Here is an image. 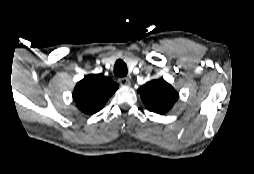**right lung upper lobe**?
I'll use <instances>...</instances> for the list:
<instances>
[{
  "mask_svg": "<svg viewBox=\"0 0 254 174\" xmlns=\"http://www.w3.org/2000/svg\"><path fill=\"white\" fill-rule=\"evenodd\" d=\"M117 89L118 85L111 78L91 74L76 84L73 100L80 111L91 115L101 110Z\"/></svg>",
  "mask_w": 254,
  "mask_h": 174,
  "instance_id": "right-lung-upper-lobe-1",
  "label": "right lung upper lobe"
}]
</instances>
